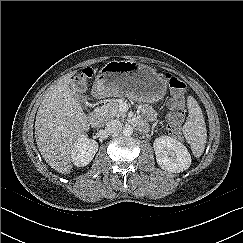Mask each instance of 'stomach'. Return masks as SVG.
Segmentation results:
<instances>
[{
    "mask_svg": "<svg viewBox=\"0 0 243 243\" xmlns=\"http://www.w3.org/2000/svg\"><path fill=\"white\" fill-rule=\"evenodd\" d=\"M95 89L107 97L156 102L166 94V81L150 66L135 61H110L98 72Z\"/></svg>",
    "mask_w": 243,
    "mask_h": 243,
    "instance_id": "obj_1",
    "label": "stomach"
}]
</instances>
